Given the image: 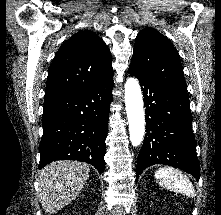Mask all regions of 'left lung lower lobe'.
<instances>
[{"label":"left lung lower lobe","mask_w":221,"mask_h":215,"mask_svg":"<svg viewBox=\"0 0 221 215\" xmlns=\"http://www.w3.org/2000/svg\"><path fill=\"white\" fill-rule=\"evenodd\" d=\"M142 87L146 107V134L138 155L137 178L148 166L164 164L199 179L200 169L187 93L166 87L134 69H128Z\"/></svg>","instance_id":"0a47b994"}]
</instances>
